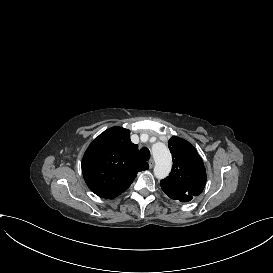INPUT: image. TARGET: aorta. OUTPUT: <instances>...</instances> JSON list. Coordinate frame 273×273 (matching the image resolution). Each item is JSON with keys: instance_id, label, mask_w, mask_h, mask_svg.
Listing matches in <instances>:
<instances>
[{"instance_id": "762f6f07", "label": "aorta", "mask_w": 273, "mask_h": 273, "mask_svg": "<svg viewBox=\"0 0 273 273\" xmlns=\"http://www.w3.org/2000/svg\"><path fill=\"white\" fill-rule=\"evenodd\" d=\"M152 155L155 160L154 175L158 179L168 176L171 171L172 158L169 149L164 143H156L152 146Z\"/></svg>"}]
</instances>
